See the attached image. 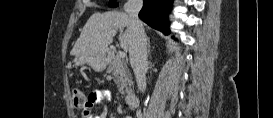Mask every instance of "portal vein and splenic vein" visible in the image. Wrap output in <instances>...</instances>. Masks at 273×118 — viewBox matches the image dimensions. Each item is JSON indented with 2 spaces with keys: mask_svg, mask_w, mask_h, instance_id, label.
<instances>
[{
  "mask_svg": "<svg viewBox=\"0 0 273 118\" xmlns=\"http://www.w3.org/2000/svg\"><path fill=\"white\" fill-rule=\"evenodd\" d=\"M117 56L123 58V57H125V52H124V51H119V52L117 53Z\"/></svg>",
  "mask_w": 273,
  "mask_h": 118,
  "instance_id": "1",
  "label": "portal vein and splenic vein"
}]
</instances>
